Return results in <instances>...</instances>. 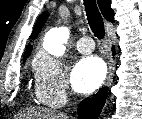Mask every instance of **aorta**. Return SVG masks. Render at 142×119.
<instances>
[{"mask_svg":"<svg viewBox=\"0 0 142 119\" xmlns=\"http://www.w3.org/2000/svg\"><path fill=\"white\" fill-rule=\"evenodd\" d=\"M69 29L67 27H57L49 30L44 38L43 47L51 55L60 57L65 53L64 44L69 38Z\"/></svg>","mask_w":142,"mask_h":119,"instance_id":"1","label":"aorta"}]
</instances>
